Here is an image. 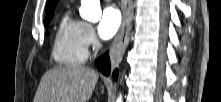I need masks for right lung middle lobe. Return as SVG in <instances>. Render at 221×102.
Segmentation results:
<instances>
[{"mask_svg":"<svg viewBox=\"0 0 221 102\" xmlns=\"http://www.w3.org/2000/svg\"><path fill=\"white\" fill-rule=\"evenodd\" d=\"M51 18H52V14H49V15L47 14L46 19L44 20V24L47 25L48 22L51 20Z\"/></svg>","mask_w":221,"mask_h":102,"instance_id":"obj_1","label":"right lung middle lobe"}]
</instances>
